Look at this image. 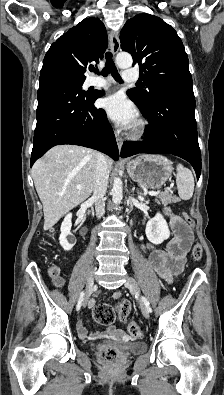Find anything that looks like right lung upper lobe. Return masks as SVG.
<instances>
[{
	"mask_svg": "<svg viewBox=\"0 0 224 395\" xmlns=\"http://www.w3.org/2000/svg\"><path fill=\"white\" fill-rule=\"evenodd\" d=\"M107 33L98 18H87L70 28L47 51L41 74L51 70L63 71L85 79L91 62L98 63L107 48Z\"/></svg>",
	"mask_w": 224,
	"mask_h": 395,
	"instance_id": "cb5924a9",
	"label": "right lung upper lobe"
}]
</instances>
